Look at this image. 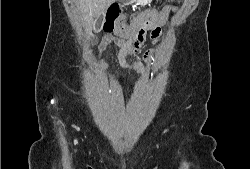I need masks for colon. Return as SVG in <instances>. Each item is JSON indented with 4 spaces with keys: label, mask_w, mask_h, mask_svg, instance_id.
<instances>
[{
    "label": "colon",
    "mask_w": 250,
    "mask_h": 169,
    "mask_svg": "<svg viewBox=\"0 0 250 169\" xmlns=\"http://www.w3.org/2000/svg\"><path fill=\"white\" fill-rule=\"evenodd\" d=\"M164 3H171L172 0H163ZM139 24L133 35V43L131 49L134 52H139L142 49V44L145 41L146 34L150 31L151 36L159 37L162 34V29L143 17L138 18ZM125 16L122 10L118 7H111L105 16V21L102 25V30L107 34H118L126 30Z\"/></svg>",
    "instance_id": "1"
}]
</instances>
